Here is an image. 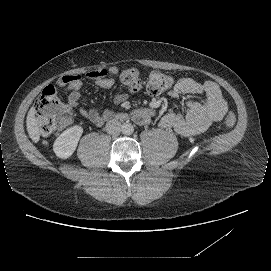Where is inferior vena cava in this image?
Listing matches in <instances>:
<instances>
[{"label": "inferior vena cava", "mask_w": 271, "mask_h": 271, "mask_svg": "<svg viewBox=\"0 0 271 271\" xmlns=\"http://www.w3.org/2000/svg\"><path fill=\"white\" fill-rule=\"evenodd\" d=\"M106 130L111 135H119L122 131L121 122L118 119L110 120L106 125Z\"/></svg>", "instance_id": "602c4592"}]
</instances>
